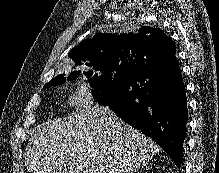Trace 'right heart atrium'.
Here are the masks:
<instances>
[{"label": "right heart atrium", "instance_id": "obj_1", "mask_svg": "<svg viewBox=\"0 0 219 173\" xmlns=\"http://www.w3.org/2000/svg\"><path fill=\"white\" fill-rule=\"evenodd\" d=\"M70 104L77 110L89 109L95 101L93 88L86 83L76 84L69 93Z\"/></svg>", "mask_w": 219, "mask_h": 173}]
</instances>
